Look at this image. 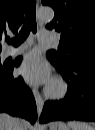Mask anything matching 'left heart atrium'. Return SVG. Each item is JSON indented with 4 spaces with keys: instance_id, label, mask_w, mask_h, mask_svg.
I'll return each mask as SVG.
<instances>
[{
    "instance_id": "1",
    "label": "left heart atrium",
    "mask_w": 95,
    "mask_h": 130,
    "mask_svg": "<svg viewBox=\"0 0 95 130\" xmlns=\"http://www.w3.org/2000/svg\"><path fill=\"white\" fill-rule=\"evenodd\" d=\"M18 71L26 81L33 84L45 83L50 78L47 63L36 51L31 52L23 59Z\"/></svg>"
}]
</instances>
